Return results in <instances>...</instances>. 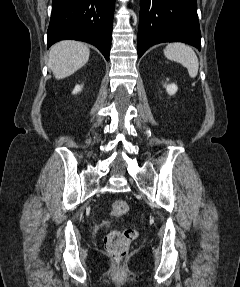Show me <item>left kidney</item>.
Instances as JSON below:
<instances>
[{"instance_id":"obj_1","label":"left kidney","mask_w":240,"mask_h":287,"mask_svg":"<svg viewBox=\"0 0 240 287\" xmlns=\"http://www.w3.org/2000/svg\"><path fill=\"white\" fill-rule=\"evenodd\" d=\"M164 87L166 88V91L169 95H174L177 90H178V87L176 84L172 83V84H168V85H164Z\"/></svg>"}]
</instances>
